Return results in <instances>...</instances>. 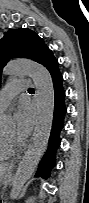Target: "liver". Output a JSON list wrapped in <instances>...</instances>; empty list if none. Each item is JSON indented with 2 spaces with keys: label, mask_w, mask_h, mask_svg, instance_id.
I'll use <instances>...</instances> for the list:
<instances>
[{
  "label": "liver",
  "mask_w": 89,
  "mask_h": 203,
  "mask_svg": "<svg viewBox=\"0 0 89 203\" xmlns=\"http://www.w3.org/2000/svg\"><path fill=\"white\" fill-rule=\"evenodd\" d=\"M8 166H10V165L7 164V163H1L0 164V178H1V182L3 181V178L5 176V172H6V169L8 168Z\"/></svg>",
  "instance_id": "liver-1"
}]
</instances>
